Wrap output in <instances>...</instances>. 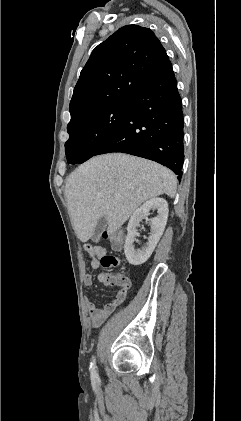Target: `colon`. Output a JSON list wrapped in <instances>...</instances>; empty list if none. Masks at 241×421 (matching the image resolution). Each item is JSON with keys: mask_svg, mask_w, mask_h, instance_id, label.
I'll use <instances>...</instances> for the list:
<instances>
[{"mask_svg": "<svg viewBox=\"0 0 241 421\" xmlns=\"http://www.w3.org/2000/svg\"><path fill=\"white\" fill-rule=\"evenodd\" d=\"M104 238L110 239L112 242V245L116 249H120L123 245V234L120 231H117L116 233L112 235H107L104 233ZM96 246L87 244L84 246V249H92L94 250ZM118 265V259L113 255H105L101 258V267L103 268V272L101 275L110 282H115L117 284H123L125 283L126 279L121 274H115L112 272V270L117 267Z\"/></svg>", "mask_w": 241, "mask_h": 421, "instance_id": "5ec220e1", "label": "colon"}]
</instances>
